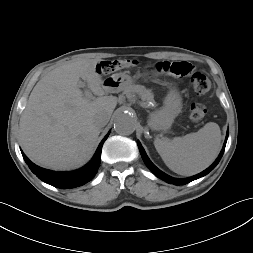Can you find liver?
I'll list each match as a JSON object with an SVG mask.
<instances>
[{
  "label": "liver",
  "instance_id": "obj_1",
  "mask_svg": "<svg viewBox=\"0 0 253 253\" xmlns=\"http://www.w3.org/2000/svg\"><path fill=\"white\" fill-rule=\"evenodd\" d=\"M100 59L68 62L44 75L33 88L20 118L19 138L35 163L56 170L78 166L90 158L100 134L95 118L111 116L117 98L96 72ZM98 95L84 97L79 80Z\"/></svg>",
  "mask_w": 253,
  "mask_h": 253
}]
</instances>
